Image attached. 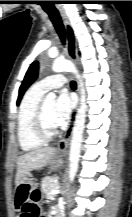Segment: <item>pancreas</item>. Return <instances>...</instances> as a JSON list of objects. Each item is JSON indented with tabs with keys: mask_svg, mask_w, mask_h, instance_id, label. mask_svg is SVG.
I'll use <instances>...</instances> for the list:
<instances>
[{
	"mask_svg": "<svg viewBox=\"0 0 132 217\" xmlns=\"http://www.w3.org/2000/svg\"><path fill=\"white\" fill-rule=\"evenodd\" d=\"M59 182L57 177H44L41 181L42 192L49 199L55 197V195L51 194V191L55 188H58Z\"/></svg>",
	"mask_w": 132,
	"mask_h": 217,
	"instance_id": "1",
	"label": "pancreas"
}]
</instances>
